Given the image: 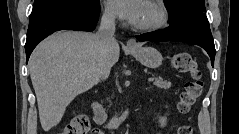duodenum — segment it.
Segmentation results:
<instances>
[{"label":"duodenum","mask_w":239,"mask_h":134,"mask_svg":"<svg viewBox=\"0 0 239 134\" xmlns=\"http://www.w3.org/2000/svg\"><path fill=\"white\" fill-rule=\"evenodd\" d=\"M92 107H93V113H94V116H93L94 121L97 124H104L108 119L107 113L104 110V108L97 103H93ZM131 113H132L131 109H127L120 116L114 117L111 120L110 125L112 127H117L119 125H122L131 116Z\"/></svg>","instance_id":"duodenum-1"}]
</instances>
